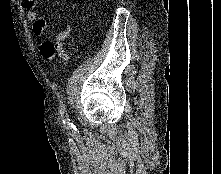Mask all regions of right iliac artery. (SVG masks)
Masks as SVG:
<instances>
[{"label": "right iliac artery", "instance_id": "right-iliac-artery-1", "mask_svg": "<svg viewBox=\"0 0 221 174\" xmlns=\"http://www.w3.org/2000/svg\"><path fill=\"white\" fill-rule=\"evenodd\" d=\"M61 117H62V121L65 126L72 127V124L70 123V119H69L68 115L65 113V105L64 104H62V106H61Z\"/></svg>", "mask_w": 221, "mask_h": 174}]
</instances>
